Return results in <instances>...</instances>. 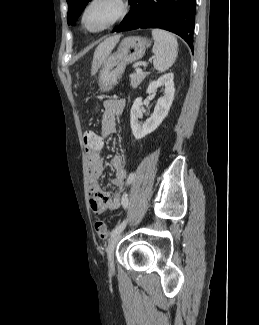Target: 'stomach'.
<instances>
[{
    "instance_id": "1",
    "label": "stomach",
    "mask_w": 259,
    "mask_h": 325,
    "mask_svg": "<svg viewBox=\"0 0 259 325\" xmlns=\"http://www.w3.org/2000/svg\"><path fill=\"white\" fill-rule=\"evenodd\" d=\"M151 45L144 37L130 36L124 38L117 51L110 54L103 62L99 74V86L103 92L109 91L123 74L126 66L140 60Z\"/></svg>"
}]
</instances>
